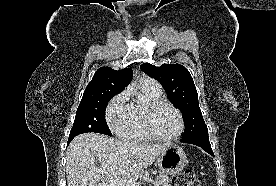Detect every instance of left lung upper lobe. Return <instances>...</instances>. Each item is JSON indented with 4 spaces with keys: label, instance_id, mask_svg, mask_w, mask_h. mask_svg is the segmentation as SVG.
<instances>
[{
    "label": "left lung upper lobe",
    "instance_id": "obj_1",
    "mask_svg": "<svg viewBox=\"0 0 276 186\" xmlns=\"http://www.w3.org/2000/svg\"><path fill=\"white\" fill-rule=\"evenodd\" d=\"M141 70L158 80L168 97L183 114L185 130L181 139L208 135V129L198 104L197 90L189 71L180 64H162L160 67L148 63Z\"/></svg>",
    "mask_w": 276,
    "mask_h": 186
}]
</instances>
